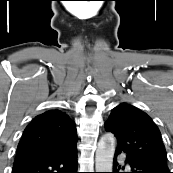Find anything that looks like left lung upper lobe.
<instances>
[{"instance_id":"left-lung-upper-lobe-1","label":"left lung upper lobe","mask_w":173,"mask_h":173,"mask_svg":"<svg viewBox=\"0 0 173 173\" xmlns=\"http://www.w3.org/2000/svg\"><path fill=\"white\" fill-rule=\"evenodd\" d=\"M105 129L115 134L118 141L117 152H125L129 156L169 170L160 131L140 109L121 103L112 110L105 122Z\"/></svg>"}]
</instances>
